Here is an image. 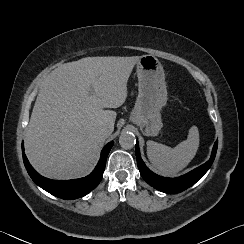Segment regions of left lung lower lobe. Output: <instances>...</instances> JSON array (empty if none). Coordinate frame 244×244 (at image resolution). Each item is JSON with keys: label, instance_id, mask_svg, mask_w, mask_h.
Listing matches in <instances>:
<instances>
[{"label": "left lung lower lobe", "instance_id": "0a47b994", "mask_svg": "<svg viewBox=\"0 0 244 244\" xmlns=\"http://www.w3.org/2000/svg\"><path fill=\"white\" fill-rule=\"evenodd\" d=\"M217 145H218V141H216L214 144L211 158L209 161H207L205 164L199 166L198 168L190 171L189 173L181 177L172 179V178H165V177L158 176L155 173L151 172L146 167V165L144 164L143 160L140 157L138 142H136L135 151H136L137 165L141 176L148 184H150L157 190L164 193H169V194L178 193L191 187L199 179H201L202 176L208 171L216 156Z\"/></svg>", "mask_w": 244, "mask_h": 244}]
</instances>
